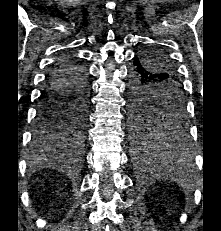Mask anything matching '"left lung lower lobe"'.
Instances as JSON below:
<instances>
[{"label":"left lung lower lobe","instance_id":"obj_1","mask_svg":"<svg viewBox=\"0 0 221 231\" xmlns=\"http://www.w3.org/2000/svg\"><path fill=\"white\" fill-rule=\"evenodd\" d=\"M163 76H158L149 71L145 66V60L142 57L134 58V66L130 72L129 96H130V112H136L145 107L148 102H153L144 97L145 94L157 95L162 86L158 80ZM158 100L159 97H152ZM177 128L173 135H159L158 137L150 138L145 142H136L141 149L154 151L157 153V162H178L181 158L186 157L189 152V141L187 139V131L184 121L174 124ZM135 140V137H134ZM158 167V165H156Z\"/></svg>","mask_w":221,"mask_h":231}]
</instances>
